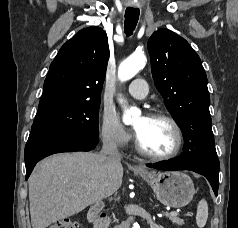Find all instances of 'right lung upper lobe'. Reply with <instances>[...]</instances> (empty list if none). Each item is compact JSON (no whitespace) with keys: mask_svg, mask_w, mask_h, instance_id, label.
I'll use <instances>...</instances> for the list:
<instances>
[{"mask_svg":"<svg viewBox=\"0 0 238 228\" xmlns=\"http://www.w3.org/2000/svg\"><path fill=\"white\" fill-rule=\"evenodd\" d=\"M108 59L106 32L97 26L80 30L51 63L36 116L81 102L100 101Z\"/></svg>","mask_w":238,"mask_h":228,"instance_id":"right-lung-upper-lobe-1","label":"right lung upper lobe"}]
</instances>
